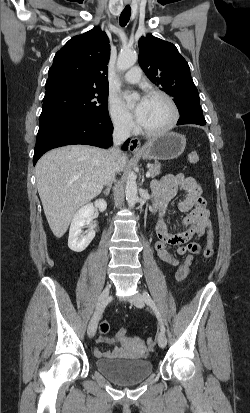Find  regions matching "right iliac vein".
<instances>
[{"label": "right iliac vein", "instance_id": "right-iliac-vein-1", "mask_svg": "<svg viewBox=\"0 0 250 413\" xmlns=\"http://www.w3.org/2000/svg\"><path fill=\"white\" fill-rule=\"evenodd\" d=\"M109 298H110V287L107 286V287L103 290V292L101 293V295H100V297H99V299H98V303H97V306H96L95 313H94V315L92 316V318H91V320H90V322H89V325H88V330H87V332H88L89 337H91V338H92V337L95 335V333H96L97 325H98L100 316H101L104 308L106 307V305H107V303H108V301H109Z\"/></svg>", "mask_w": 250, "mask_h": 413}]
</instances>
